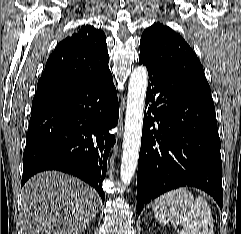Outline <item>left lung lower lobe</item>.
<instances>
[{
  "instance_id": "0a47b994",
  "label": "left lung lower lobe",
  "mask_w": 241,
  "mask_h": 234,
  "mask_svg": "<svg viewBox=\"0 0 241 234\" xmlns=\"http://www.w3.org/2000/svg\"><path fill=\"white\" fill-rule=\"evenodd\" d=\"M137 213L166 191L193 186L210 194L222 210V163L215 107L208 88L172 76L147 60Z\"/></svg>"
}]
</instances>
